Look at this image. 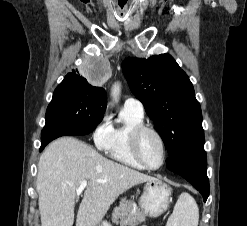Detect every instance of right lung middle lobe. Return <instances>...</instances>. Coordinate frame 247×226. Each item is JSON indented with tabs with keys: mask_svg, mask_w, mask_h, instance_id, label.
Returning a JSON list of instances; mask_svg holds the SVG:
<instances>
[{
	"mask_svg": "<svg viewBox=\"0 0 247 226\" xmlns=\"http://www.w3.org/2000/svg\"><path fill=\"white\" fill-rule=\"evenodd\" d=\"M106 104L96 94L62 81L48 105L44 129L60 128L90 133L102 121Z\"/></svg>",
	"mask_w": 247,
	"mask_h": 226,
	"instance_id": "1",
	"label": "right lung middle lobe"
}]
</instances>
